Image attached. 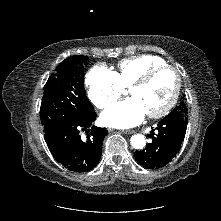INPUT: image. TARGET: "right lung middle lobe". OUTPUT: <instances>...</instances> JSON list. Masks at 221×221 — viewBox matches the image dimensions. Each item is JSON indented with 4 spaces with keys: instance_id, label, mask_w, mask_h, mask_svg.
Returning a JSON list of instances; mask_svg holds the SVG:
<instances>
[{
    "instance_id": "dd1d6c3e",
    "label": "right lung middle lobe",
    "mask_w": 221,
    "mask_h": 221,
    "mask_svg": "<svg viewBox=\"0 0 221 221\" xmlns=\"http://www.w3.org/2000/svg\"><path fill=\"white\" fill-rule=\"evenodd\" d=\"M87 56L75 55L60 63L45 87L40 107L44 130L60 125L68 118H79L94 112L83 87V70Z\"/></svg>"
}]
</instances>
